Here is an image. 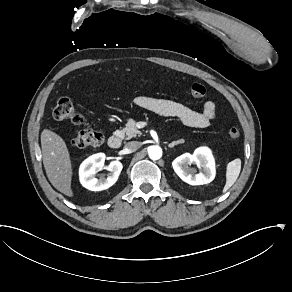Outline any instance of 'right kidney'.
Returning <instances> with one entry per match:
<instances>
[{"mask_svg":"<svg viewBox=\"0 0 292 292\" xmlns=\"http://www.w3.org/2000/svg\"><path fill=\"white\" fill-rule=\"evenodd\" d=\"M105 154L97 153L85 159L79 168V179L83 187L91 191H101L111 187L123 168L119 161H112L106 169L110 172L107 178H95V174L104 167Z\"/></svg>","mask_w":292,"mask_h":292,"instance_id":"obj_1","label":"right kidney"}]
</instances>
